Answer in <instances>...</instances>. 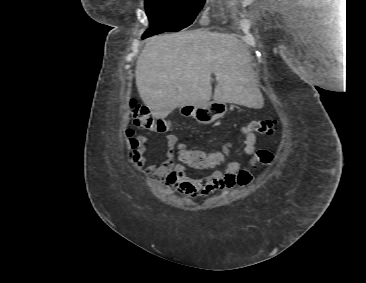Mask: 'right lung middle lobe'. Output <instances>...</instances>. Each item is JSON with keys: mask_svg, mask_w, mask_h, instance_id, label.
Returning <instances> with one entry per match:
<instances>
[{"mask_svg": "<svg viewBox=\"0 0 366 283\" xmlns=\"http://www.w3.org/2000/svg\"><path fill=\"white\" fill-rule=\"evenodd\" d=\"M205 0H146L145 9L150 21L142 38L154 34L180 31L194 21Z\"/></svg>", "mask_w": 366, "mask_h": 283, "instance_id": "1", "label": "right lung middle lobe"}]
</instances>
